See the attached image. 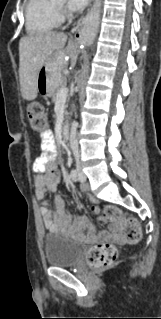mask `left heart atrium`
I'll return each mask as SVG.
<instances>
[{
  "label": "left heart atrium",
  "mask_w": 161,
  "mask_h": 319,
  "mask_svg": "<svg viewBox=\"0 0 161 319\" xmlns=\"http://www.w3.org/2000/svg\"><path fill=\"white\" fill-rule=\"evenodd\" d=\"M89 0H68L67 6L70 10L76 11L84 8Z\"/></svg>",
  "instance_id": "39dd6f15"
}]
</instances>
